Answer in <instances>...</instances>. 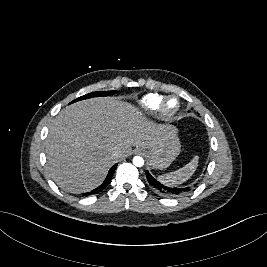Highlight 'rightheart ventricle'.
<instances>
[{"label": "right heart ventricle", "instance_id": "right-heart-ventricle-1", "mask_svg": "<svg viewBox=\"0 0 267 267\" xmlns=\"http://www.w3.org/2000/svg\"><path fill=\"white\" fill-rule=\"evenodd\" d=\"M163 99V96L157 93H150L145 95L140 100L141 107L147 112H155L158 109V106Z\"/></svg>", "mask_w": 267, "mask_h": 267}]
</instances>
